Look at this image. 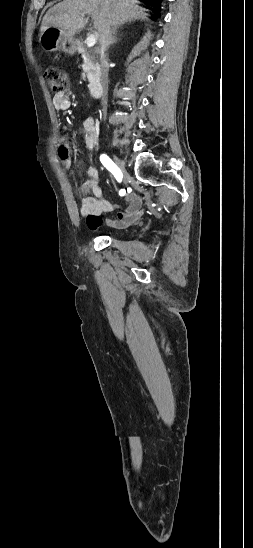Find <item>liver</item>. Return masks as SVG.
I'll return each instance as SVG.
<instances>
[{"label": "liver", "instance_id": "6515ba94", "mask_svg": "<svg viewBox=\"0 0 253 548\" xmlns=\"http://www.w3.org/2000/svg\"><path fill=\"white\" fill-rule=\"evenodd\" d=\"M145 11L135 0H63L46 12L40 30L44 32L49 27H56L66 36L74 37L85 27L87 20L82 13L87 12L93 18L99 39L106 22L116 29L128 21L147 19Z\"/></svg>", "mask_w": 253, "mask_h": 548}]
</instances>
